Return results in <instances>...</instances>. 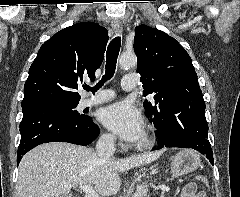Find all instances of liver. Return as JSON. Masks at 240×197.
Masks as SVG:
<instances>
[{
  "instance_id": "obj_1",
  "label": "liver",
  "mask_w": 240,
  "mask_h": 197,
  "mask_svg": "<svg viewBox=\"0 0 240 197\" xmlns=\"http://www.w3.org/2000/svg\"><path fill=\"white\" fill-rule=\"evenodd\" d=\"M162 152L125 159H102L92 149L63 142L39 145L23 156L15 197H61L72 187L90 184L103 196L115 195L119 172L149 164Z\"/></svg>"
}]
</instances>
